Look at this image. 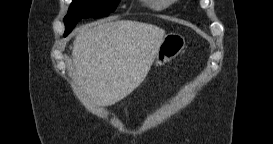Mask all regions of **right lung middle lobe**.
<instances>
[{"label":"right lung middle lobe","instance_id":"obj_1","mask_svg":"<svg viewBox=\"0 0 273 144\" xmlns=\"http://www.w3.org/2000/svg\"><path fill=\"white\" fill-rule=\"evenodd\" d=\"M120 0H73L64 18L67 36L82 18H98L113 12Z\"/></svg>","mask_w":273,"mask_h":144}]
</instances>
